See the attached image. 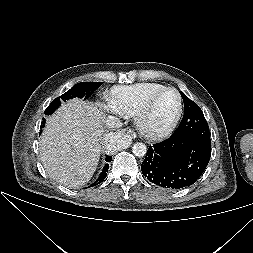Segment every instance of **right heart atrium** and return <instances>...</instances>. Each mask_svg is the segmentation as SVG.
I'll list each match as a JSON object with an SVG mask.
<instances>
[{
    "label": "right heart atrium",
    "instance_id": "right-heart-atrium-1",
    "mask_svg": "<svg viewBox=\"0 0 253 253\" xmlns=\"http://www.w3.org/2000/svg\"><path fill=\"white\" fill-rule=\"evenodd\" d=\"M100 106L106 110V111H111L112 110V105H107V104H100Z\"/></svg>",
    "mask_w": 253,
    "mask_h": 253
}]
</instances>
